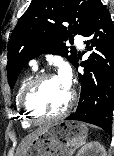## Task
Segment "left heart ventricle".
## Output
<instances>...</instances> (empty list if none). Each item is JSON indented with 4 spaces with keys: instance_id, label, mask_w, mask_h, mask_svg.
<instances>
[{
    "instance_id": "1",
    "label": "left heart ventricle",
    "mask_w": 114,
    "mask_h": 156,
    "mask_svg": "<svg viewBox=\"0 0 114 156\" xmlns=\"http://www.w3.org/2000/svg\"><path fill=\"white\" fill-rule=\"evenodd\" d=\"M69 99L66 89L57 77L41 82L29 97V107L38 115L51 116L61 112Z\"/></svg>"
}]
</instances>
